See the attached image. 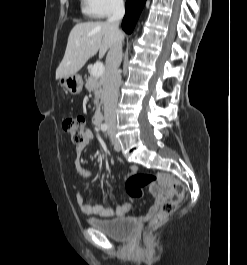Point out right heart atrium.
Returning <instances> with one entry per match:
<instances>
[{"mask_svg": "<svg viewBox=\"0 0 247 265\" xmlns=\"http://www.w3.org/2000/svg\"><path fill=\"white\" fill-rule=\"evenodd\" d=\"M84 12L92 18H105L123 7V0H82Z\"/></svg>", "mask_w": 247, "mask_h": 265, "instance_id": "obj_1", "label": "right heart atrium"}]
</instances>
